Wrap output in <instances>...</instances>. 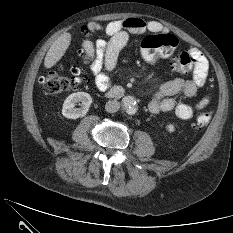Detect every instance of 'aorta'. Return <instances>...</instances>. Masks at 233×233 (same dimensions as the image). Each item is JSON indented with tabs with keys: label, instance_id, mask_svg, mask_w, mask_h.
Here are the masks:
<instances>
[{
	"label": "aorta",
	"instance_id": "aorta-1",
	"mask_svg": "<svg viewBox=\"0 0 233 233\" xmlns=\"http://www.w3.org/2000/svg\"><path fill=\"white\" fill-rule=\"evenodd\" d=\"M122 107L129 115H133L137 111L136 99L133 96H125L121 101Z\"/></svg>",
	"mask_w": 233,
	"mask_h": 233
}]
</instances>
